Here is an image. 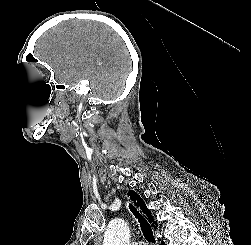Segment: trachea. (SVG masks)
<instances>
[{"label":"trachea","mask_w":251,"mask_h":245,"mask_svg":"<svg viewBox=\"0 0 251 245\" xmlns=\"http://www.w3.org/2000/svg\"><path fill=\"white\" fill-rule=\"evenodd\" d=\"M129 208L134 216L140 222V226L143 232L145 239L150 243H155V238L153 236L152 228L149 223L142 217V215L137 211V209L132 205L129 204Z\"/></svg>","instance_id":"1"}]
</instances>
